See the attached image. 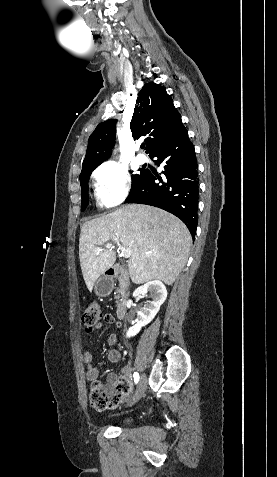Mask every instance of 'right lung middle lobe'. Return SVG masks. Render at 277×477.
<instances>
[{
  "label": "right lung middle lobe",
  "mask_w": 277,
  "mask_h": 477,
  "mask_svg": "<svg viewBox=\"0 0 277 477\" xmlns=\"http://www.w3.org/2000/svg\"><path fill=\"white\" fill-rule=\"evenodd\" d=\"M96 167H90L87 169H84L81 171L80 174V183H81V197H82V203H81V211H84L87 204H88V180L91 175V172L95 169ZM146 170H140V174H135L132 175V187L131 191L142 181L144 175H145Z\"/></svg>",
  "instance_id": "dd1d6c3e"
}]
</instances>
